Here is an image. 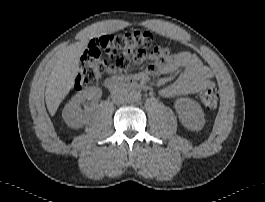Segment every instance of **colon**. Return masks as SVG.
Returning <instances> with one entry per match:
<instances>
[{"instance_id": "5ec220e1", "label": "colon", "mask_w": 265, "mask_h": 202, "mask_svg": "<svg viewBox=\"0 0 265 202\" xmlns=\"http://www.w3.org/2000/svg\"><path fill=\"white\" fill-rule=\"evenodd\" d=\"M162 51L149 31L137 30L102 36L79 63L75 89L94 87L105 74L122 73L131 61L147 62L161 56ZM200 100L206 109H216L219 101L218 88L210 86L203 89Z\"/></svg>"}]
</instances>
